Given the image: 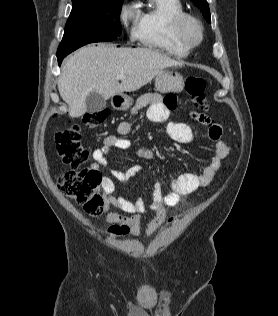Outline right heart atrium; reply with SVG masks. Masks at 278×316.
Returning <instances> with one entry per match:
<instances>
[{
  "instance_id": "right-heart-atrium-1",
  "label": "right heart atrium",
  "mask_w": 278,
  "mask_h": 316,
  "mask_svg": "<svg viewBox=\"0 0 278 316\" xmlns=\"http://www.w3.org/2000/svg\"><path fill=\"white\" fill-rule=\"evenodd\" d=\"M118 18L127 35L131 39H135L139 21V10L136 2L125 0L120 6Z\"/></svg>"
}]
</instances>
